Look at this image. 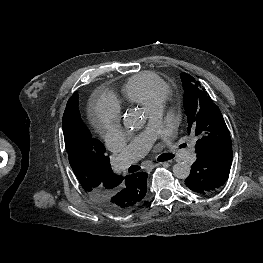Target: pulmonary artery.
<instances>
[{
    "mask_svg": "<svg viewBox=\"0 0 263 263\" xmlns=\"http://www.w3.org/2000/svg\"><path fill=\"white\" fill-rule=\"evenodd\" d=\"M150 119L146 130L137 136L118 156L116 170L121 171L143 157L161 132L163 102L154 105L148 110ZM181 158L192 163L196 160L195 147L190 146L182 151Z\"/></svg>",
    "mask_w": 263,
    "mask_h": 263,
    "instance_id": "pulmonary-artery-1",
    "label": "pulmonary artery"
}]
</instances>
